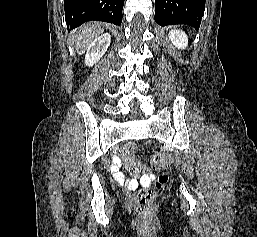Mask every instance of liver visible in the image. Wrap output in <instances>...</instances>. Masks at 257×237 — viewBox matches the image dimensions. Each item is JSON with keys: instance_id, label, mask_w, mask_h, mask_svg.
<instances>
[{"instance_id": "liver-1", "label": "liver", "mask_w": 257, "mask_h": 237, "mask_svg": "<svg viewBox=\"0 0 257 237\" xmlns=\"http://www.w3.org/2000/svg\"><path fill=\"white\" fill-rule=\"evenodd\" d=\"M103 32L99 23H87L81 26L75 34V49L79 55L83 54L95 38Z\"/></svg>"}]
</instances>
